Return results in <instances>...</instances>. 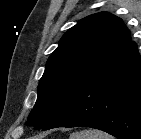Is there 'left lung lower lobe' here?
Wrapping results in <instances>:
<instances>
[{
    "instance_id": "0a47b994",
    "label": "left lung lower lobe",
    "mask_w": 141,
    "mask_h": 139,
    "mask_svg": "<svg viewBox=\"0 0 141 139\" xmlns=\"http://www.w3.org/2000/svg\"><path fill=\"white\" fill-rule=\"evenodd\" d=\"M92 127L141 139V62L131 41L88 76L43 130Z\"/></svg>"
}]
</instances>
